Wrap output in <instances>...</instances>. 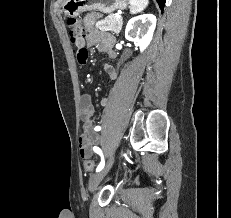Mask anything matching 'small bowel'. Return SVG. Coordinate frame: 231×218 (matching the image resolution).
<instances>
[{"instance_id":"obj_1","label":"small bowel","mask_w":231,"mask_h":218,"mask_svg":"<svg viewBox=\"0 0 231 218\" xmlns=\"http://www.w3.org/2000/svg\"><path fill=\"white\" fill-rule=\"evenodd\" d=\"M97 13H90L84 18V24L85 27L88 30V35L86 38H83L81 40H78L75 45L79 49L85 48V47H93L98 46V48L102 51L108 54L109 57L114 58L115 53L112 50V38L110 35L106 33H102L96 29H94V23L96 19L98 18ZM77 65H88V58H77L76 60ZM105 71L110 76V79L112 81H115L117 79V69L110 65H105ZM108 98H103L101 100V106L105 107L108 105ZM80 110H81V116L82 120L85 123V128L87 130L91 129V122L90 117L94 113V107L92 104V98L89 94H83L81 97V104H80ZM98 140L97 137H89L88 135H83L80 137L79 140V149L80 154L82 157H88L90 156L92 152V145Z\"/></svg>"}]
</instances>
